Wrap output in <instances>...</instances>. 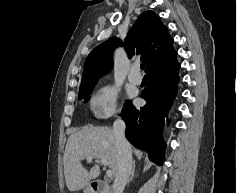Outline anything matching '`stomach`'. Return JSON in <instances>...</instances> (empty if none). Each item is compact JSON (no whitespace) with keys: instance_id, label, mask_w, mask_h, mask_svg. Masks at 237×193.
<instances>
[{"instance_id":"1","label":"stomach","mask_w":237,"mask_h":193,"mask_svg":"<svg viewBox=\"0 0 237 193\" xmlns=\"http://www.w3.org/2000/svg\"><path fill=\"white\" fill-rule=\"evenodd\" d=\"M84 193H92V190L90 187H87L85 190H84Z\"/></svg>"}]
</instances>
